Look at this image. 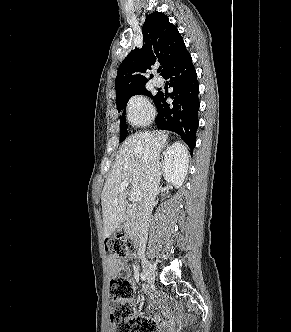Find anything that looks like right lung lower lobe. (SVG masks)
Listing matches in <instances>:
<instances>
[{
  "mask_svg": "<svg viewBox=\"0 0 291 332\" xmlns=\"http://www.w3.org/2000/svg\"><path fill=\"white\" fill-rule=\"evenodd\" d=\"M163 77L170 79L173 92L168 96L173 99V103L166 102L167 94L157 93L154 100L158 112L155 123L162 130L179 134L192 152L196 145L200 104L199 85L191 56L170 69Z\"/></svg>",
  "mask_w": 291,
  "mask_h": 332,
  "instance_id": "obj_1",
  "label": "right lung lower lobe"
}]
</instances>
